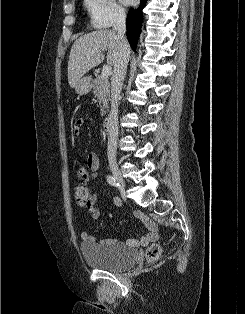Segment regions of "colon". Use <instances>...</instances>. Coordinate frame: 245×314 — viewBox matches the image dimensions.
Segmentation results:
<instances>
[{
  "label": "colon",
  "instance_id": "colon-1",
  "mask_svg": "<svg viewBox=\"0 0 245 314\" xmlns=\"http://www.w3.org/2000/svg\"><path fill=\"white\" fill-rule=\"evenodd\" d=\"M73 195L79 205L85 206L89 204L92 192L87 185L80 184L74 188ZM160 254L161 246L159 244H153L148 248L146 258L148 261H155L159 258Z\"/></svg>",
  "mask_w": 245,
  "mask_h": 314
}]
</instances>
